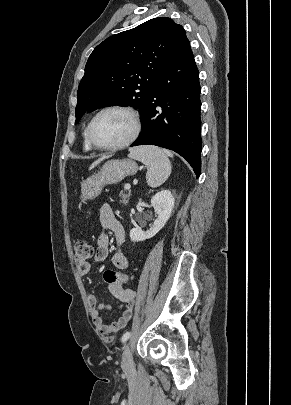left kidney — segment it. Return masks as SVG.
I'll list each match as a JSON object with an SVG mask.
<instances>
[{
  "label": "left kidney",
  "instance_id": "obj_1",
  "mask_svg": "<svg viewBox=\"0 0 291 405\" xmlns=\"http://www.w3.org/2000/svg\"><path fill=\"white\" fill-rule=\"evenodd\" d=\"M174 204L175 198L169 190H161L157 192L151 199V205L157 215L153 225L147 231L132 228L130 230L131 241L140 242L154 237L171 217Z\"/></svg>",
  "mask_w": 291,
  "mask_h": 405
}]
</instances>
